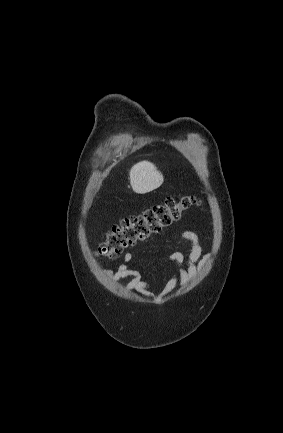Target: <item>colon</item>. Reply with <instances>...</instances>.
I'll list each match as a JSON object with an SVG mask.
<instances>
[{
  "mask_svg": "<svg viewBox=\"0 0 283 433\" xmlns=\"http://www.w3.org/2000/svg\"><path fill=\"white\" fill-rule=\"evenodd\" d=\"M198 205L199 200L192 195L168 197L162 204L126 217L107 232L97 249V255L113 260L126 248L168 229L181 219L187 209Z\"/></svg>",
  "mask_w": 283,
  "mask_h": 433,
  "instance_id": "obj_1",
  "label": "colon"
}]
</instances>
